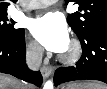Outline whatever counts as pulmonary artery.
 Returning <instances> with one entry per match:
<instances>
[{
    "label": "pulmonary artery",
    "mask_w": 107,
    "mask_h": 89,
    "mask_svg": "<svg viewBox=\"0 0 107 89\" xmlns=\"http://www.w3.org/2000/svg\"><path fill=\"white\" fill-rule=\"evenodd\" d=\"M55 2L56 0H33L29 3L27 9L33 10V9L46 8Z\"/></svg>",
    "instance_id": "1"
}]
</instances>
